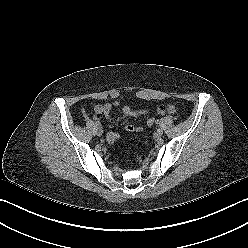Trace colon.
<instances>
[{
    "label": "colon",
    "instance_id": "5ec220e1",
    "mask_svg": "<svg viewBox=\"0 0 248 248\" xmlns=\"http://www.w3.org/2000/svg\"><path fill=\"white\" fill-rule=\"evenodd\" d=\"M146 124L148 127H152L154 125V118L153 117H149L146 121ZM119 138V135L117 133H110L108 135V142L112 143L114 142L116 139Z\"/></svg>",
    "mask_w": 248,
    "mask_h": 248
}]
</instances>
